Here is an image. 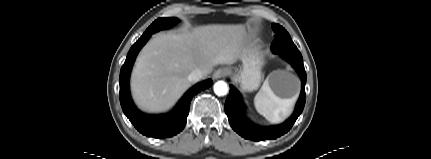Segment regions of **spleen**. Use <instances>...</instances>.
<instances>
[{
  "label": "spleen",
  "instance_id": "obj_1",
  "mask_svg": "<svg viewBox=\"0 0 431 159\" xmlns=\"http://www.w3.org/2000/svg\"><path fill=\"white\" fill-rule=\"evenodd\" d=\"M297 96L280 98L270 88L268 81L262 85L261 90L254 98L257 112L271 123H280L287 118L294 107Z\"/></svg>",
  "mask_w": 431,
  "mask_h": 159
}]
</instances>
